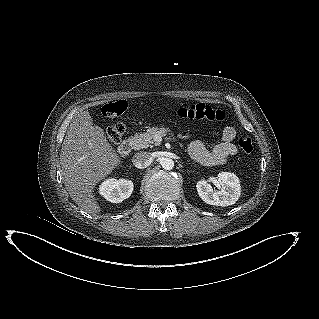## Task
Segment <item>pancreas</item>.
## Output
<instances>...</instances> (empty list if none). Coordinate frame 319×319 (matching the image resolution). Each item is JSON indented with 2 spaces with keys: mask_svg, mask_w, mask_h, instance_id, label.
I'll use <instances>...</instances> for the list:
<instances>
[{
  "mask_svg": "<svg viewBox=\"0 0 319 319\" xmlns=\"http://www.w3.org/2000/svg\"><path fill=\"white\" fill-rule=\"evenodd\" d=\"M168 132H170V130L165 127H160V128L152 127L147 129V131L144 133L136 134L134 135L132 140L133 149L139 150V149L147 148L150 143L154 142L156 134H159L160 136H165ZM178 137L182 139L189 138L188 135L182 136L181 134H179Z\"/></svg>",
  "mask_w": 319,
  "mask_h": 319,
  "instance_id": "1",
  "label": "pancreas"
}]
</instances>
